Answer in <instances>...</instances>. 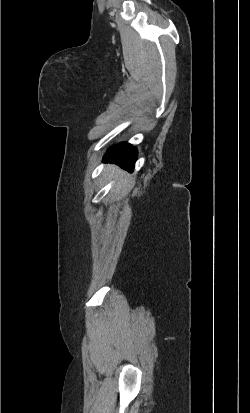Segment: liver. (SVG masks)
Masks as SVG:
<instances>
[{"label":"liver","instance_id":"liver-1","mask_svg":"<svg viewBox=\"0 0 250 413\" xmlns=\"http://www.w3.org/2000/svg\"><path fill=\"white\" fill-rule=\"evenodd\" d=\"M111 168H112V169H115L114 167H109V169H111Z\"/></svg>","mask_w":250,"mask_h":413}]
</instances>
